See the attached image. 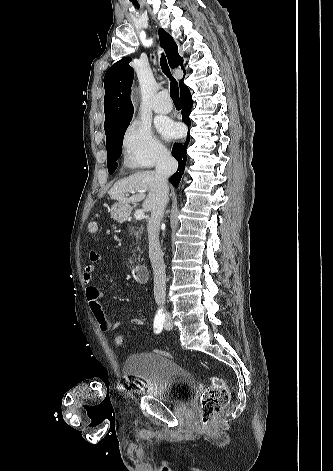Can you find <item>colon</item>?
<instances>
[{"instance_id": "1", "label": "colon", "mask_w": 333, "mask_h": 471, "mask_svg": "<svg viewBox=\"0 0 333 471\" xmlns=\"http://www.w3.org/2000/svg\"><path fill=\"white\" fill-rule=\"evenodd\" d=\"M88 231L95 234L98 231V224L96 221H90L88 224ZM113 343L120 347L125 343V337L117 333L113 337ZM158 354L173 358L172 354L164 350H156ZM230 394L228 387L224 380L219 376H212L210 385L204 391L201 398V425L202 428L207 430L210 428L211 422L215 415L223 410L229 404Z\"/></svg>"}]
</instances>
